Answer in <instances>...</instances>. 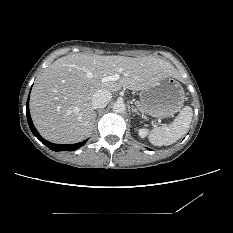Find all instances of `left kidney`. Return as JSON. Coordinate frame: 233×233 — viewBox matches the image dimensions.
<instances>
[{"mask_svg":"<svg viewBox=\"0 0 233 233\" xmlns=\"http://www.w3.org/2000/svg\"><path fill=\"white\" fill-rule=\"evenodd\" d=\"M138 135L140 138L144 139L147 135V129H144V128L139 129Z\"/></svg>","mask_w":233,"mask_h":233,"instance_id":"obj_1","label":"left kidney"}]
</instances>
